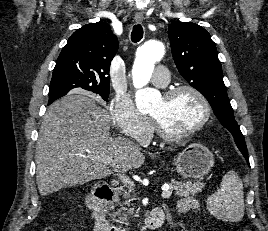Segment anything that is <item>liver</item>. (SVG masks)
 <instances>
[{"instance_id": "obj_1", "label": "liver", "mask_w": 268, "mask_h": 231, "mask_svg": "<svg viewBox=\"0 0 268 231\" xmlns=\"http://www.w3.org/2000/svg\"><path fill=\"white\" fill-rule=\"evenodd\" d=\"M111 118L87 93L76 91L49 106L36 144V182L42 196L112 174L96 160L108 155L125 173L145 161L131 140L110 137Z\"/></svg>"}]
</instances>
